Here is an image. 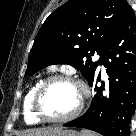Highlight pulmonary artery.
<instances>
[{
	"mask_svg": "<svg viewBox=\"0 0 136 136\" xmlns=\"http://www.w3.org/2000/svg\"><path fill=\"white\" fill-rule=\"evenodd\" d=\"M97 58H99V56H97ZM101 67L103 68V65H101Z\"/></svg>",
	"mask_w": 136,
	"mask_h": 136,
	"instance_id": "obj_1",
	"label": "pulmonary artery"
}]
</instances>
